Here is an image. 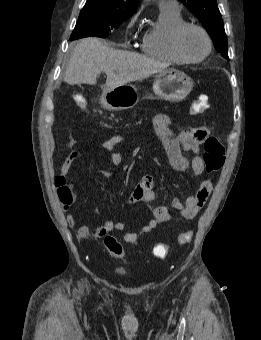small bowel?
<instances>
[{"label": "small bowel", "instance_id": "obj_1", "mask_svg": "<svg viewBox=\"0 0 261 340\" xmlns=\"http://www.w3.org/2000/svg\"><path fill=\"white\" fill-rule=\"evenodd\" d=\"M153 125L155 134L166 151L174 170L184 171L191 167L194 175H200L204 171V161L199 154V146L210 133L208 126L192 127L177 133L171 129V119L165 114L157 115L153 120ZM122 140V135H114L104 140L100 145V148L108 154L111 164L115 166L121 163L122 157L120 153L114 150V148ZM84 152L83 149L76 148L66 157L61 166L63 177L69 174L74 161ZM186 153H191L192 158L190 159ZM100 173L106 179H109L112 175L110 171L105 169H101ZM153 187V177L149 174L143 175L133 190L129 202H154L156 194ZM211 191L212 183L208 180L202 181L196 193L188 197L185 202L180 201L178 198H174L172 201V208L178 210L184 219L192 220L205 205ZM152 213L153 219L141 229V233L143 234L150 233L160 224L168 222L171 219V211L166 206L155 207L153 208ZM67 222L73 227L76 224V217L73 214H70L67 217ZM125 228L126 224L124 222L108 220L96 227L95 234L98 237H103L106 233L111 231H123ZM90 233V228L87 225H82L77 229V236L79 239L88 237ZM123 239L127 243H134L138 239V234L125 233Z\"/></svg>", "mask_w": 261, "mask_h": 340}]
</instances>
